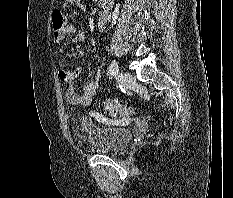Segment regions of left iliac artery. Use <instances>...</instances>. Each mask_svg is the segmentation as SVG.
Wrapping results in <instances>:
<instances>
[{
  "instance_id": "obj_1",
  "label": "left iliac artery",
  "mask_w": 233,
  "mask_h": 198,
  "mask_svg": "<svg viewBox=\"0 0 233 198\" xmlns=\"http://www.w3.org/2000/svg\"><path fill=\"white\" fill-rule=\"evenodd\" d=\"M118 72H119L118 62L116 60H113L110 64L108 73L110 75H117Z\"/></svg>"
}]
</instances>
